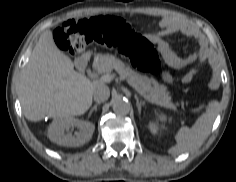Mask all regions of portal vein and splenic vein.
<instances>
[{
	"instance_id": "portal-vein-and-splenic-vein-1",
	"label": "portal vein and splenic vein",
	"mask_w": 236,
	"mask_h": 182,
	"mask_svg": "<svg viewBox=\"0 0 236 182\" xmlns=\"http://www.w3.org/2000/svg\"><path fill=\"white\" fill-rule=\"evenodd\" d=\"M97 71L99 72H105V67L104 66H101L100 68H97ZM93 77H95V74L92 75ZM127 83L132 87L134 88L142 97H144L146 100H148L149 102L151 103H154V104H158V105H161V106H165V107H169V108H172L174 110H176V107L173 105V104H168V103H163V102H160L154 98H152L151 96L147 95L145 93L144 90H142L135 82H133L132 80L128 79L127 80Z\"/></svg>"
}]
</instances>
